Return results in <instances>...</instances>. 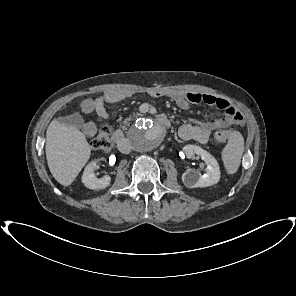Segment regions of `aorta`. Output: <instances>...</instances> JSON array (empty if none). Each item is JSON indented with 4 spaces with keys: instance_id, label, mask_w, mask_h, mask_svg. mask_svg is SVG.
Wrapping results in <instances>:
<instances>
[{
    "instance_id": "1",
    "label": "aorta",
    "mask_w": 296,
    "mask_h": 296,
    "mask_svg": "<svg viewBox=\"0 0 296 296\" xmlns=\"http://www.w3.org/2000/svg\"><path fill=\"white\" fill-rule=\"evenodd\" d=\"M165 135V128L148 117L138 118L128 131L132 147L139 152L155 149L163 142Z\"/></svg>"
}]
</instances>
